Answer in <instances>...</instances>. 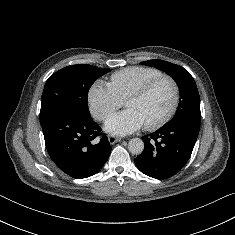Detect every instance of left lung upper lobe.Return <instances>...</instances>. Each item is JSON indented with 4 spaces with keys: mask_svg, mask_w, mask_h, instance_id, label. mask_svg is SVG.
Here are the masks:
<instances>
[{
    "mask_svg": "<svg viewBox=\"0 0 235 235\" xmlns=\"http://www.w3.org/2000/svg\"><path fill=\"white\" fill-rule=\"evenodd\" d=\"M141 64L164 71L175 80L179 87L180 100L176 114L165 125L190 118L201 121L199 93L193 77L187 70L179 65L157 59L144 61Z\"/></svg>",
    "mask_w": 235,
    "mask_h": 235,
    "instance_id": "obj_1",
    "label": "left lung upper lobe"
}]
</instances>
